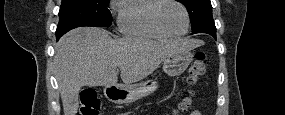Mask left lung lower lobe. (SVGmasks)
<instances>
[{
	"label": "left lung lower lobe",
	"instance_id": "0a47b994",
	"mask_svg": "<svg viewBox=\"0 0 285 115\" xmlns=\"http://www.w3.org/2000/svg\"><path fill=\"white\" fill-rule=\"evenodd\" d=\"M203 33L210 34L211 36H213L216 39V27L215 26L210 27V28H206Z\"/></svg>",
	"mask_w": 285,
	"mask_h": 115
}]
</instances>
